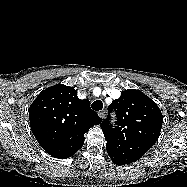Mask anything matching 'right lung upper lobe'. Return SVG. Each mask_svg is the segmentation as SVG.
<instances>
[{"instance_id": "right-lung-upper-lobe-1", "label": "right lung upper lobe", "mask_w": 187, "mask_h": 187, "mask_svg": "<svg viewBox=\"0 0 187 187\" xmlns=\"http://www.w3.org/2000/svg\"><path fill=\"white\" fill-rule=\"evenodd\" d=\"M73 87L57 84L43 90L29 108L30 126L38 143L52 157L65 159L84 144V133L102 119Z\"/></svg>"}]
</instances>
